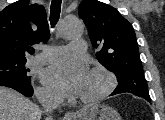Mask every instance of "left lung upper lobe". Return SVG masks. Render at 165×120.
Segmentation results:
<instances>
[{
    "mask_svg": "<svg viewBox=\"0 0 165 120\" xmlns=\"http://www.w3.org/2000/svg\"><path fill=\"white\" fill-rule=\"evenodd\" d=\"M78 13L92 46L99 49L98 61L117 77L112 95L128 92L151 100L131 24L117 9L97 0H83Z\"/></svg>",
    "mask_w": 165,
    "mask_h": 120,
    "instance_id": "left-lung-upper-lobe-1",
    "label": "left lung upper lobe"
}]
</instances>
